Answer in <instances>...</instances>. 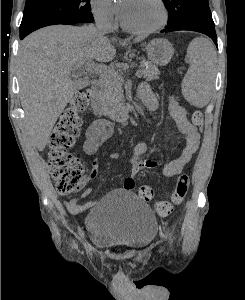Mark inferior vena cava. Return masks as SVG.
<instances>
[{
	"label": "inferior vena cava",
	"instance_id": "inferior-vena-cava-1",
	"mask_svg": "<svg viewBox=\"0 0 245 300\" xmlns=\"http://www.w3.org/2000/svg\"><path fill=\"white\" fill-rule=\"evenodd\" d=\"M96 29L100 34H105L111 31V26L107 19L98 18L96 20Z\"/></svg>",
	"mask_w": 245,
	"mask_h": 300
}]
</instances>
